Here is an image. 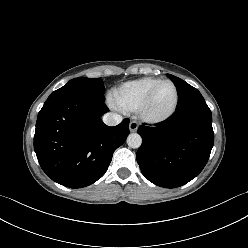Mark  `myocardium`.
Segmentation results:
<instances>
[{
  "label": "myocardium",
  "instance_id": "1",
  "mask_svg": "<svg viewBox=\"0 0 248 248\" xmlns=\"http://www.w3.org/2000/svg\"><path fill=\"white\" fill-rule=\"evenodd\" d=\"M164 84H169L173 87L174 89V102H173V105L171 107V109L165 113L164 115H161V116H151L147 113V108H148V105L153 97V95L155 94V92L157 91V89L164 85ZM178 103H179V91H178V88L177 86L175 85L174 82H172L171 80H161L159 81L158 83H156L147 93L146 95L143 97L142 101L140 102L139 106H138V109H137V112H138V115L139 117L146 123L148 124H153V125H156V124H161L167 120H169L173 115L174 113L176 112L177 110V107H178Z\"/></svg>",
  "mask_w": 248,
  "mask_h": 248
}]
</instances>
